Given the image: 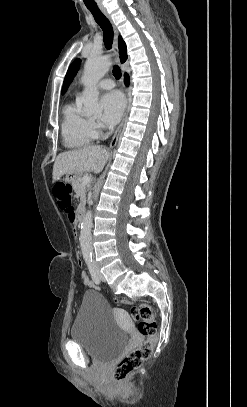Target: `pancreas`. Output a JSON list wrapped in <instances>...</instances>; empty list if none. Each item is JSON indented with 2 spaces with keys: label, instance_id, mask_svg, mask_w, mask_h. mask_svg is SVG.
<instances>
[{
  "label": "pancreas",
  "instance_id": "1",
  "mask_svg": "<svg viewBox=\"0 0 247 407\" xmlns=\"http://www.w3.org/2000/svg\"><path fill=\"white\" fill-rule=\"evenodd\" d=\"M82 179H83L82 176H78L75 178V180L72 183L73 189L80 197L79 207L84 206L86 203L87 187H86V184H82Z\"/></svg>",
  "mask_w": 247,
  "mask_h": 407
}]
</instances>
